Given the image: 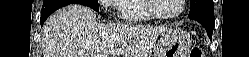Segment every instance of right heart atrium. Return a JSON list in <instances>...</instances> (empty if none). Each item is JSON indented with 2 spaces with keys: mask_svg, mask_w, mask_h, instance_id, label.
<instances>
[{
  "mask_svg": "<svg viewBox=\"0 0 249 57\" xmlns=\"http://www.w3.org/2000/svg\"><path fill=\"white\" fill-rule=\"evenodd\" d=\"M122 0H114V1H110V0H102L101 3L104 5H108L109 7L119 10V4Z\"/></svg>",
  "mask_w": 249,
  "mask_h": 57,
  "instance_id": "right-heart-atrium-1",
  "label": "right heart atrium"
}]
</instances>
